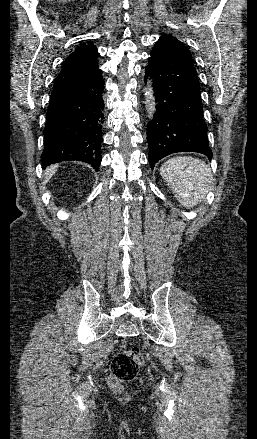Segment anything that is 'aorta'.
Instances as JSON below:
<instances>
[{"instance_id":"1","label":"aorta","mask_w":257,"mask_h":439,"mask_svg":"<svg viewBox=\"0 0 257 439\" xmlns=\"http://www.w3.org/2000/svg\"><path fill=\"white\" fill-rule=\"evenodd\" d=\"M145 90V106L147 113L150 117H153V114L155 113V101H154V92L152 87V81H148Z\"/></svg>"}]
</instances>
